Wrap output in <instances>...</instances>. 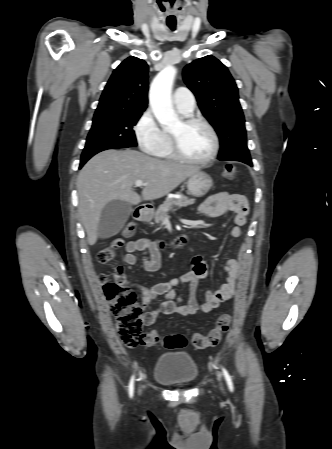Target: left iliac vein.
Instances as JSON below:
<instances>
[{
	"instance_id": "left-iliac-vein-1",
	"label": "left iliac vein",
	"mask_w": 332,
	"mask_h": 449,
	"mask_svg": "<svg viewBox=\"0 0 332 449\" xmlns=\"http://www.w3.org/2000/svg\"><path fill=\"white\" fill-rule=\"evenodd\" d=\"M217 376H218V379H219V381H220V380H221L220 374H218ZM220 388L223 389L222 384H220Z\"/></svg>"
}]
</instances>
